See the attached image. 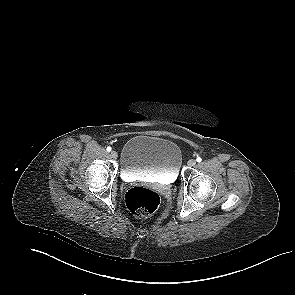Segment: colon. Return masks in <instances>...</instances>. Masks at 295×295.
Returning a JSON list of instances; mask_svg holds the SVG:
<instances>
[{"label": "colon", "instance_id": "5ec220e1", "mask_svg": "<svg viewBox=\"0 0 295 295\" xmlns=\"http://www.w3.org/2000/svg\"><path fill=\"white\" fill-rule=\"evenodd\" d=\"M125 202L133 215L144 218L152 215L157 210L160 204V196L151 189L133 187L127 191Z\"/></svg>", "mask_w": 295, "mask_h": 295}]
</instances>
